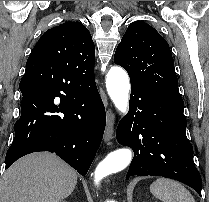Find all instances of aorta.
I'll use <instances>...</instances> for the list:
<instances>
[{
	"instance_id": "1",
	"label": "aorta",
	"mask_w": 209,
	"mask_h": 202,
	"mask_svg": "<svg viewBox=\"0 0 209 202\" xmlns=\"http://www.w3.org/2000/svg\"><path fill=\"white\" fill-rule=\"evenodd\" d=\"M107 92L116 109L122 114L128 111L130 82L124 69L113 66L106 76ZM132 160V151L128 148L117 149L109 153L95 169L94 182L96 185L106 176L126 168Z\"/></svg>"
}]
</instances>
